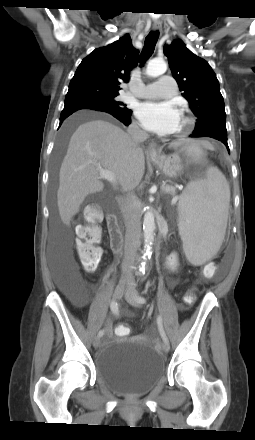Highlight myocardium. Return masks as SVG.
Wrapping results in <instances>:
<instances>
[{
    "label": "myocardium",
    "mask_w": 255,
    "mask_h": 440,
    "mask_svg": "<svg viewBox=\"0 0 255 440\" xmlns=\"http://www.w3.org/2000/svg\"><path fill=\"white\" fill-rule=\"evenodd\" d=\"M182 120H183V125L176 133L178 137L187 135L194 126V120L186 113H182Z\"/></svg>",
    "instance_id": "myocardium-1"
}]
</instances>
